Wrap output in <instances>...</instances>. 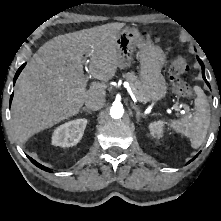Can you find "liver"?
Listing matches in <instances>:
<instances>
[{"instance_id":"6515ba94","label":"liver","mask_w":221,"mask_h":221,"mask_svg":"<svg viewBox=\"0 0 221 221\" xmlns=\"http://www.w3.org/2000/svg\"><path fill=\"white\" fill-rule=\"evenodd\" d=\"M124 25L109 23L59 35L39 48L14 94L13 127L20 142L76 115L88 98L105 97L103 82H92L86 89L83 56L90 58L89 72L94 78L112 79L118 67L115 43Z\"/></svg>"}]
</instances>
